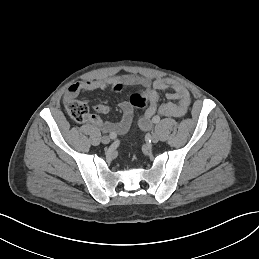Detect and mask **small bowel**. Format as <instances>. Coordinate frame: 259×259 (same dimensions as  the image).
<instances>
[{"label":"small bowel","instance_id":"c3829d8e","mask_svg":"<svg viewBox=\"0 0 259 259\" xmlns=\"http://www.w3.org/2000/svg\"><path fill=\"white\" fill-rule=\"evenodd\" d=\"M127 86H143L148 92L149 104L139 120V126L146 131L150 128L151 118L157 113L165 116L182 117L187 113L191 103L189 91L179 82L167 78L150 81L136 75L113 76L97 80L83 81L71 85L66 94L65 100L76 98L79 94L94 90H105L111 88L119 91ZM172 90L166 94L167 102L158 107V92ZM122 117L118 122H110L101 119L97 114H90L88 121L99 127L103 132L121 135L126 133L132 123L134 107L129 101H123L119 105ZM96 113L108 114L111 108L106 104H98L94 107Z\"/></svg>","mask_w":259,"mask_h":259}]
</instances>
